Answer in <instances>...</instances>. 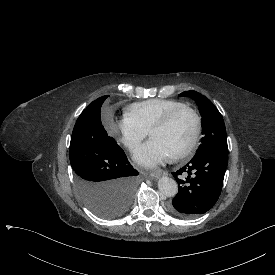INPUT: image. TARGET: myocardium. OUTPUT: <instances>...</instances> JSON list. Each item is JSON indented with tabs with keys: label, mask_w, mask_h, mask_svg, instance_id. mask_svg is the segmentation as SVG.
<instances>
[{
	"label": "myocardium",
	"mask_w": 275,
	"mask_h": 275,
	"mask_svg": "<svg viewBox=\"0 0 275 275\" xmlns=\"http://www.w3.org/2000/svg\"><path fill=\"white\" fill-rule=\"evenodd\" d=\"M183 112H188L193 119V133L189 142L186 144V146L172 156V158L175 160L182 159L186 157L188 154H190L198 142L200 131H201V121L197 112L189 106L176 108L170 111L169 113H167L161 120L156 122L151 128L149 133L151 136L153 131L158 129H165L169 127L173 122V120Z\"/></svg>",
	"instance_id": "1"
}]
</instances>
